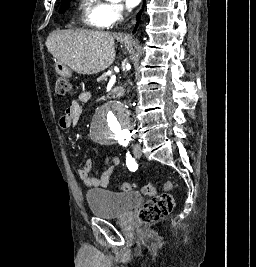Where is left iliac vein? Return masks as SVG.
<instances>
[{"instance_id": "left-iliac-vein-1", "label": "left iliac vein", "mask_w": 256, "mask_h": 267, "mask_svg": "<svg viewBox=\"0 0 256 267\" xmlns=\"http://www.w3.org/2000/svg\"><path fill=\"white\" fill-rule=\"evenodd\" d=\"M134 155L136 158L142 157L141 146L139 144L134 145Z\"/></svg>"}]
</instances>
